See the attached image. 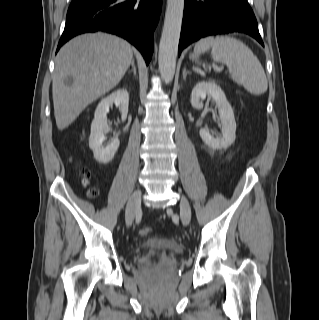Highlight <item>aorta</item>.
I'll use <instances>...</instances> for the list:
<instances>
[{
    "label": "aorta",
    "mask_w": 319,
    "mask_h": 320,
    "mask_svg": "<svg viewBox=\"0 0 319 320\" xmlns=\"http://www.w3.org/2000/svg\"><path fill=\"white\" fill-rule=\"evenodd\" d=\"M183 10L184 0H167L158 54L159 71L165 83H170L175 74Z\"/></svg>",
    "instance_id": "aorta-1"
}]
</instances>
